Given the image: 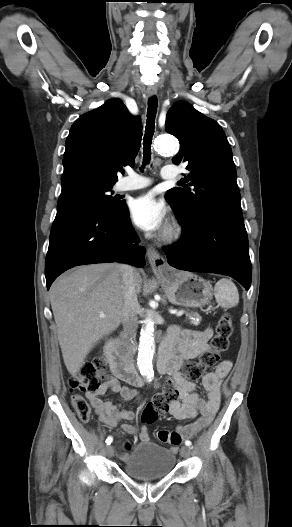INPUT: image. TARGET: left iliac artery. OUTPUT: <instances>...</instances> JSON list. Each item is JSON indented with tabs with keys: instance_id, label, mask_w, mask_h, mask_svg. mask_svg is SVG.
<instances>
[{
	"instance_id": "44dca946",
	"label": "left iliac artery",
	"mask_w": 292,
	"mask_h": 527,
	"mask_svg": "<svg viewBox=\"0 0 292 527\" xmlns=\"http://www.w3.org/2000/svg\"><path fill=\"white\" fill-rule=\"evenodd\" d=\"M185 445L188 446V447H190V446L192 445V443H191V441L186 440V441H185Z\"/></svg>"
}]
</instances>
